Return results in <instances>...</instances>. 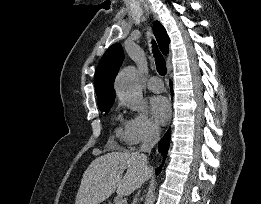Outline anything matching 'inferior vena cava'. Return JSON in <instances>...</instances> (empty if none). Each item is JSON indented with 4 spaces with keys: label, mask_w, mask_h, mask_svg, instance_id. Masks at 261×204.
<instances>
[{
    "label": "inferior vena cava",
    "mask_w": 261,
    "mask_h": 204,
    "mask_svg": "<svg viewBox=\"0 0 261 204\" xmlns=\"http://www.w3.org/2000/svg\"><path fill=\"white\" fill-rule=\"evenodd\" d=\"M160 137V132L158 127L151 126L147 132V135L144 139L143 144L140 146L139 151L137 152V157L140 160L142 166L146 167L147 162V155L145 153H150L152 148L155 146V144L158 142ZM137 197L133 199L132 204H136Z\"/></svg>",
    "instance_id": "inferior-vena-cava-1"
}]
</instances>
